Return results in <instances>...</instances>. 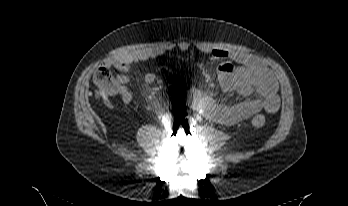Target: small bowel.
<instances>
[{"instance_id": "1", "label": "small bowel", "mask_w": 348, "mask_h": 206, "mask_svg": "<svg viewBox=\"0 0 348 206\" xmlns=\"http://www.w3.org/2000/svg\"><path fill=\"white\" fill-rule=\"evenodd\" d=\"M191 47L188 42H181L178 48L187 51ZM201 53L208 55L211 60L219 61L218 79L224 91H238L249 94L256 91L258 96L247 99L235 105H227L216 101L196 88H191L189 102L208 119L224 126H234L260 111L275 113L279 109L278 82L266 65L259 59L242 52H230L221 48L206 46L196 47ZM166 49L151 48L140 49L122 54L107 61V66H112L121 72L119 89L112 95H119L126 109L134 99L127 88L126 74L138 62L151 60L161 56ZM145 81L152 84L156 75L152 72L145 74ZM97 97L106 105H110L108 95L101 91Z\"/></svg>"}]
</instances>
